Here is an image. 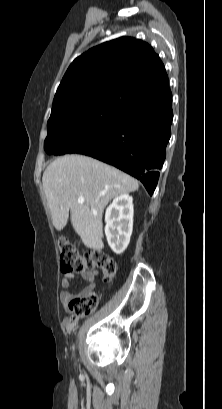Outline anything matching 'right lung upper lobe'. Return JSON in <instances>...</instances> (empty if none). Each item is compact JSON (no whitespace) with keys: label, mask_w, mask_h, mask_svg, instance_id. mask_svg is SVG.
Returning <instances> with one entry per match:
<instances>
[{"label":"right lung upper lobe","mask_w":222,"mask_h":409,"mask_svg":"<svg viewBox=\"0 0 222 409\" xmlns=\"http://www.w3.org/2000/svg\"><path fill=\"white\" fill-rule=\"evenodd\" d=\"M169 90L165 67L153 48L121 37L91 48L71 63L55 94L52 112L73 105L122 104Z\"/></svg>","instance_id":"1"}]
</instances>
